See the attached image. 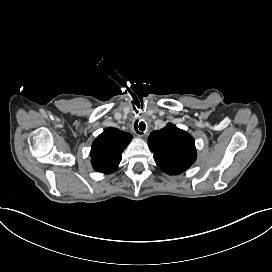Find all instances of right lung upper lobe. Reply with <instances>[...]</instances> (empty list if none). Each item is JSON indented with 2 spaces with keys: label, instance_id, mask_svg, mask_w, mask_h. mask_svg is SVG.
I'll list each match as a JSON object with an SVG mask.
<instances>
[{
  "label": "right lung upper lobe",
  "instance_id": "right-lung-upper-lobe-1",
  "mask_svg": "<svg viewBox=\"0 0 272 272\" xmlns=\"http://www.w3.org/2000/svg\"><path fill=\"white\" fill-rule=\"evenodd\" d=\"M130 133L109 127L93 142L91 163L95 171L109 174L117 169L122 160V152L132 140Z\"/></svg>",
  "mask_w": 272,
  "mask_h": 272
}]
</instances>
